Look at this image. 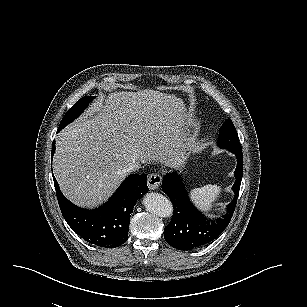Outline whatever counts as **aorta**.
Instances as JSON below:
<instances>
[{
	"instance_id": "aorta-1",
	"label": "aorta",
	"mask_w": 307,
	"mask_h": 307,
	"mask_svg": "<svg viewBox=\"0 0 307 307\" xmlns=\"http://www.w3.org/2000/svg\"><path fill=\"white\" fill-rule=\"evenodd\" d=\"M142 204L148 212L159 217L172 214V205L169 199L157 192L146 193L142 198Z\"/></svg>"
}]
</instances>
